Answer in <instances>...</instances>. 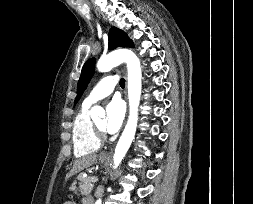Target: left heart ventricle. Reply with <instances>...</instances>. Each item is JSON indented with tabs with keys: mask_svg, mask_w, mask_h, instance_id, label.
Instances as JSON below:
<instances>
[{
	"mask_svg": "<svg viewBox=\"0 0 253 204\" xmlns=\"http://www.w3.org/2000/svg\"><path fill=\"white\" fill-rule=\"evenodd\" d=\"M95 124H96L100 129H104V126H105V119H99V120L95 121Z\"/></svg>",
	"mask_w": 253,
	"mask_h": 204,
	"instance_id": "b2bd125f",
	"label": "left heart ventricle"
}]
</instances>
